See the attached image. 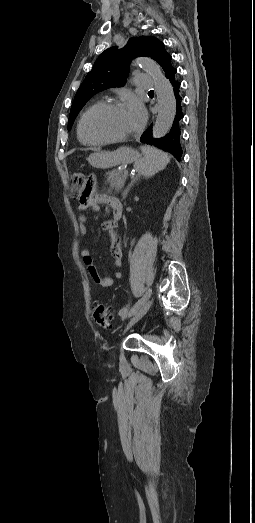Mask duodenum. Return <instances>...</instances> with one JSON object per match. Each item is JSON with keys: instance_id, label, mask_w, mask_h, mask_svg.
<instances>
[{"instance_id": "obj_1", "label": "duodenum", "mask_w": 255, "mask_h": 523, "mask_svg": "<svg viewBox=\"0 0 255 523\" xmlns=\"http://www.w3.org/2000/svg\"><path fill=\"white\" fill-rule=\"evenodd\" d=\"M107 203L112 208L114 219L119 220L122 217L123 213V205L120 202V200L117 198L109 197L107 199Z\"/></svg>"}]
</instances>
